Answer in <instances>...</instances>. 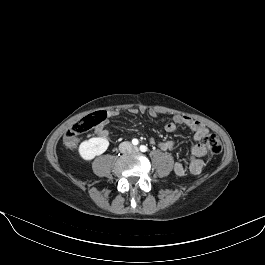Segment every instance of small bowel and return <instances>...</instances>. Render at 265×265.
Returning <instances> with one entry per match:
<instances>
[{
	"label": "small bowel",
	"mask_w": 265,
	"mask_h": 265,
	"mask_svg": "<svg viewBox=\"0 0 265 265\" xmlns=\"http://www.w3.org/2000/svg\"><path fill=\"white\" fill-rule=\"evenodd\" d=\"M145 113L146 108L140 107L130 109V113ZM149 116L152 119L157 117V112L155 110H149ZM119 114L118 111L112 110L106 114V118L96 127L95 133L101 137L109 138L110 131L107 129L109 118L115 117ZM179 126H186L191 131H193V143L189 147V164L188 171L193 174H199L204 166L202 158L206 155V149L202 145L201 141L209 133L208 128L200 121L192 119L186 115H176L172 118L171 121L165 124V130L167 132H174ZM160 147L163 149H172L175 146V143L172 140H167L159 143ZM174 172L178 176H183L186 172V167L181 162H176L174 164Z\"/></svg>",
	"instance_id": "c3829d8e"
}]
</instances>
